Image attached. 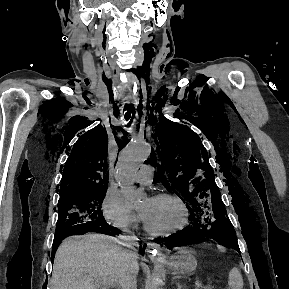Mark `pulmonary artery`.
<instances>
[{"instance_id":"obj_1","label":"pulmonary artery","mask_w":289,"mask_h":289,"mask_svg":"<svg viewBox=\"0 0 289 289\" xmlns=\"http://www.w3.org/2000/svg\"><path fill=\"white\" fill-rule=\"evenodd\" d=\"M154 167L151 164H144L139 171L133 176L134 182L147 185L152 182Z\"/></svg>"}]
</instances>
